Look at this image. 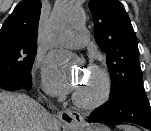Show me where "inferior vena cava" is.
Here are the masks:
<instances>
[{
  "instance_id": "602c4592",
  "label": "inferior vena cava",
  "mask_w": 151,
  "mask_h": 131,
  "mask_svg": "<svg viewBox=\"0 0 151 131\" xmlns=\"http://www.w3.org/2000/svg\"><path fill=\"white\" fill-rule=\"evenodd\" d=\"M53 127L55 128L54 130H57L56 128L58 127V123L56 121L53 122Z\"/></svg>"
}]
</instances>
